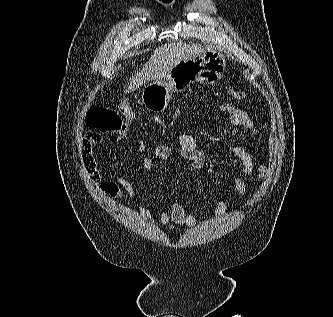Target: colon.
Returning a JSON list of instances; mask_svg holds the SVG:
<instances>
[{"instance_id":"obj_1","label":"colon","mask_w":333,"mask_h":317,"mask_svg":"<svg viewBox=\"0 0 333 317\" xmlns=\"http://www.w3.org/2000/svg\"><path fill=\"white\" fill-rule=\"evenodd\" d=\"M229 95L235 100H242L246 94L230 88ZM136 121V113L129 102H122L117 108L95 107L86 118L87 125L105 134L124 135L129 132Z\"/></svg>"}]
</instances>
